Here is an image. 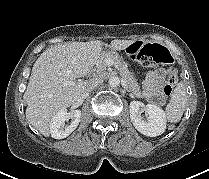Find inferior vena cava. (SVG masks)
Segmentation results:
<instances>
[{"instance_id": "inferior-vena-cava-1", "label": "inferior vena cava", "mask_w": 209, "mask_h": 179, "mask_svg": "<svg viewBox=\"0 0 209 179\" xmlns=\"http://www.w3.org/2000/svg\"><path fill=\"white\" fill-rule=\"evenodd\" d=\"M102 83V80L101 79H91L86 88H85V92H84V97L87 96L94 88H96L99 84Z\"/></svg>"}]
</instances>
